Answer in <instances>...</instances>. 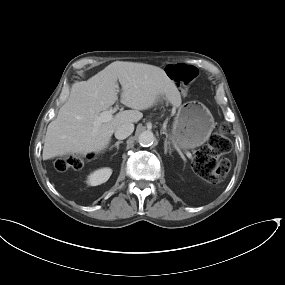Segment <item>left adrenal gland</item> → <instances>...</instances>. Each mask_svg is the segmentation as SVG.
I'll return each mask as SVG.
<instances>
[{
    "label": "left adrenal gland",
    "mask_w": 285,
    "mask_h": 285,
    "mask_svg": "<svg viewBox=\"0 0 285 285\" xmlns=\"http://www.w3.org/2000/svg\"><path fill=\"white\" fill-rule=\"evenodd\" d=\"M168 149L170 150L169 153H171V148L168 147L167 142L165 141V143H164V153H165V154H167Z\"/></svg>",
    "instance_id": "obj_1"
}]
</instances>
